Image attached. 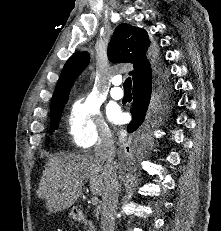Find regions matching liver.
Returning a JSON list of instances; mask_svg holds the SVG:
<instances>
[{"mask_svg":"<svg viewBox=\"0 0 221 231\" xmlns=\"http://www.w3.org/2000/svg\"><path fill=\"white\" fill-rule=\"evenodd\" d=\"M104 177L94 155L59 153L47 162L37 196L45 200L48 210L59 212L74 204L88 181L91 193L102 196Z\"/></svg>","mask_w":221,"mask_h":231,"instance_id":"6515ba94","label":"liver"}]
</instances>
